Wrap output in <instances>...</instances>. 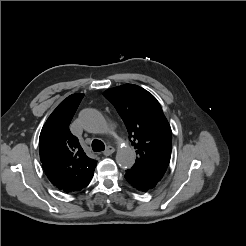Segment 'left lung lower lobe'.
I'll list each match as a JSON object with an SVG mask.
<instances>
[{
	"label": "left lung lower lobe",
	"instance_id": "obj_1",
	"mask_svg": "<svg viewBox=\"0 0 246 246\" xmlns=\"http://www.w3.org/2000/svg\"><path fill=\"white\" fill-rule=\"evenodd\" d=\"M125 178L135 189L143 192L151 190L159 182L147 173L133 167L126 171Z\"/></svg>",
	"mask_w": 246,
	"mask_h": 246
}]
</instances>
